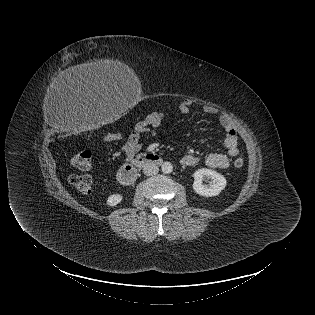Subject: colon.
Instances as JSON below:
<instances>
[{
	"instance_id": "obj_1",
	"label": "colon",
	"mask_w": 315,
	"mask_h": 315,
	"mask_svg": "<svg viewBox=\"0 0 315 315\" xmlns=\"http://www.w3.org/2000/svg\"><path fill=\"white\" fill-rule=\"evenodd\" d=\"M105 139L107 141H117L121 139L119 133H110ZM92 162V153L89 150H83L76 153L71 158V164L79 170H87L90 168ZM244 164V159L238 157L234 161V166L237 168L242 167ZM69 182L73 185L79 192L83 194H89L92 190V179L89 175L80 174V175H71L69 177Z\"/></svg>"
}]
</instances>
